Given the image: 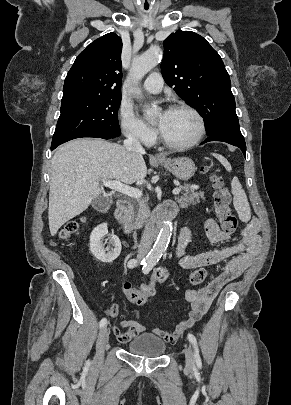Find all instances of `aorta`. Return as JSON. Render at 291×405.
<instances>
[{
	"instance_id": "1",
	"label": "aorta",
	"mask_w": 291,
	"mask_h": 405,
	"mask_svg": "<svg viewBox=\"0 0 291 405\" xmlns=\"http://www.w3.org/2000/svg\"><path fill=\"white\" fill-rule=\"evenodd\" d=\"M163 51L159 47H152L143 54L134 58L130 70V75L134 83H138L151 69H153L162 59ZM135 94L139 97L140 91L135 89ZM156 110L146 109V114L153 118ZM172 233V222L166 221L162 226L153 248L148 253L147 259L157 261L168 247Z\"/></svg>"
}]
</instances>
